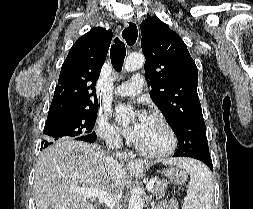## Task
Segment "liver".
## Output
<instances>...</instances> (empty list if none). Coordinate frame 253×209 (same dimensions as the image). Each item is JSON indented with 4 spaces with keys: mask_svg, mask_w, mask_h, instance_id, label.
Returning a JSON list of instances; mask_svg holds the SVG:
<instances>
[{
    "mask_svg": "<svg viewBox=\"0 0 253 209\" xmlns=\"http://www.w3.org/2000/svg\"><path fill=\"white\" fill-rule=\"evenodd\" d=\"M107 159L98 146L71 139L59 140L45 149L35 170L36 209H96L85 196L73 192L75 188L103 190L116 197L129 175L120 164L118 171L110 173ZM115 182H119L118 187Z\"/></svg>",
    "mask_w": 253,
    "mask_h": 209,
    "instance_id": "1",
    "label": "liver"
}]
</instances>
